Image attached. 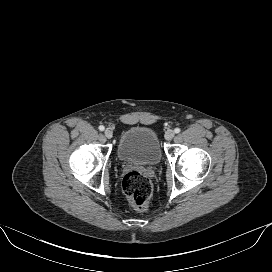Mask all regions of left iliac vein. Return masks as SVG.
Instances as JSON below:
<instances>
[{"label": "left iliac vein", "mask_w": 272, "mask_h": 272, "mask_svg": "<svg viewBox=\"0 0 272 272\" xmlns=\"http://www.w3.org/2000/svg\"><path fill=\"white\" fill-rule=\"evenodd\" d=\"M175 136V132L173 130H168L166 133H165V139L166 140H171L173 139Z\"/></svg>", "instance_id": "left-iliac-vein-1"}]
</instances>
